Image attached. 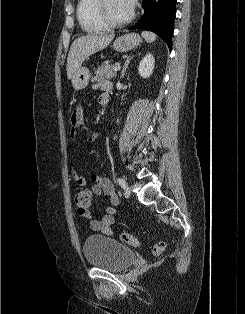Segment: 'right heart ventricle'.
<instances>
[{"label": "right heart ventricle", "mask_w": 245, "mask_h": 314, "mask_svg": "<svg viewBox=\"0 0 245 314\" xmlns=\"http://www.w3.org/2000/svg\"><path fill=\"white\" fill-rule=\"evenodd\" d=\"M97 0H78L77 18L82 29L88 33H101L107 31L96 17L95 5Z\"/></svg>", "instance_id": "obj_1"}]
</instances>
